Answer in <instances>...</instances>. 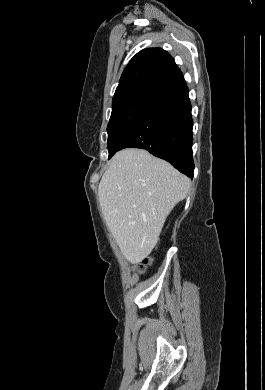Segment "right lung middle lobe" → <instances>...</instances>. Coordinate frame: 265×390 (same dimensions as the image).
<instances>
[{
    "mask_svg": "<svg viewBox=\"0 0 265 390\" xmlns=\"http://www.w3.org/2000/svg\"><path fill=\"white\" fill-rule=\"evenodd\" d=\"M153 100L151 97L135 96L112 103V113L107 126L109 159L115 154L116 144L122 133Z\"/></svg>",
    "mask_w": 265,
    "mask_h": 390,
    "instance_id": "dd1d6c3e",
    "label": "right lung middle lobe"
}]
</instances>
